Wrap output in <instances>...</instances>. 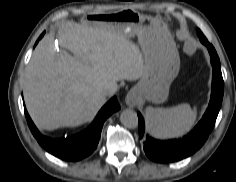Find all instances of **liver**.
I'll return each instance as SVG.
<instances>
[{
  "label": "liver",
  "mask_w": 236,
  "mask_h": 182,
  "mask_svg": "<svg viewBox=\"0 0 236 182\" xmlns=\"http://www.w3.org/2000/svg\"><path fill=\"white\" fill-rule=\"evenodd\" d=\"M37 45L25 70L24 99L34 123L45 130L74 127L93 120L105 104L101 91H117L120 80L143 76L144 46L129 40L110 22H64Z\"/></svg>",
  "instance_id": "6515ba94"
}]
</instances>
